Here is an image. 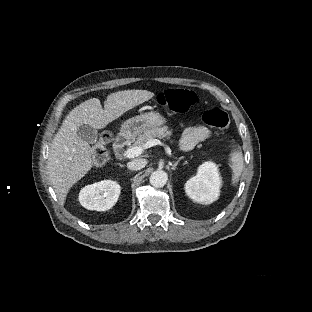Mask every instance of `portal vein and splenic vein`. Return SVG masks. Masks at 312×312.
<instances>
[{"label":"portal vein and splenic vein","mask_w":312,"mask_h":312,"mask_svg":"<svg viewBox=\"0 0 312 312\" xmlns=\"http://www.w3.org/2000/svg\"><path fill=\"white\" fill-rule=\"evenodd\" d=\"M155 145H163L165 146V150H166V153L168 155H171V149L169 146H166L164 145L160 140L158 139H153V140H150L148 141L145 145H144V148L143 147H133V148H130L128 149L126 152H125V156L127 158H134V157H137L139 155L142 154L143 152V149H147L149 147H152V146H155Z\"/></svg>","instance_id":"obj_1"}]
</instances>
